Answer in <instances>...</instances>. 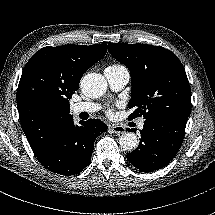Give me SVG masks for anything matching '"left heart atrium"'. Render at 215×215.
Here are the masks:
<instances>
[{"label": "left heart atrium", "instance_id": "left-heart-atrium-1", "mask_svg": "<svg viewBox=\"0 0 215 215\" xmlns=\"http://www.w3.org/2000/svg\"><path fill=\"white\" fill-rule=\"evenodd\" d=\"M108 114L111 115V114H112V111L110 110V111L108 112Z\"/></svg>", "mask_w": 215, "mask_h": 215}]
</instances>
